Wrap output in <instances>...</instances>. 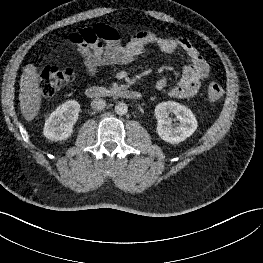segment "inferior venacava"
I'll use <instances>...</instances> for the list:
<instances>
[{"label": "inferior vena cava", "instance_id": "obj_1", "mask_svg": "<svg viewBox=\"0 0 263 263\" xmlns=\"http://www.w3.org/2000/svg\"><path fill=\"white\" fill-rule=\"evenodd\" d=\"M105 106H106V101L102 98H95L91 102V107L94 110H102L105 108Z\"/></svg>", "mask_w": 263, "mask_h": 263}]
</instances>
